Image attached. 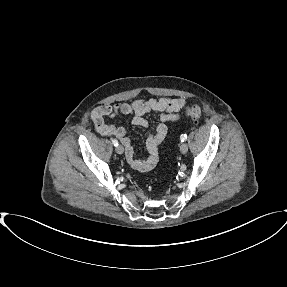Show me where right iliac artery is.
Here are the masks:
<instances>
[{
    "instance_id": "obj_1",
    "label": "right iliac artery",
    "mask_w": 287,
    "mask_h": 287,
    "mask_svg": "<svg viewBox=\"0 0 287 287\" xmlns=\"http://www.w3.org/2000/svg\"><path fill=\"white\" fill-rule=\"evenodd\" d=\"M112 143L114 144V146H118V141L116 139L112 140Z\"/></svg>"
}]
</instances>
